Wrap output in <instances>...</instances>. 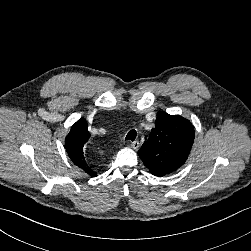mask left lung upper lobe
<instances>
[{
    "instance_id": "obj_1",
    "label": "left lung upper lobe",
    "mask_w": 251,
    "mask_h": 251,
    "mask_svg": "<svg viewBox=\"0 0 251 251\" xmlns=\"http://www.w3.org/2000/svg\"><path fill=\"white\" fill-rule=\"evenodd\" d=\"M155 124L138 154L153 175L163 176L185 163L195 133L189 120L162 111L157 113Z\"/></svg>"
}]
</instances>
